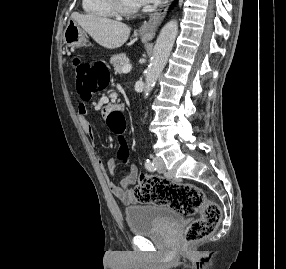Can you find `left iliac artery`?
Returning a JSON list of instances; mask_svg holds the SVG:
<instances>
[{
  "instance_id": "1",
  "label": "left iliac artery",
  "mask_w": 286,
  "mask_h": 269,
  "mask_svg": "<svg viewBox=\"0 0 286 269\" xmlns=\"http://www.w3.org/2000/svg\"><path fill=\"white\" fill-rule=\"evenodd\" d=\"M145 168L148 171H152V172L156 170L154 163L151 162L149 159H146V161H145Z\"/></svg>"
}]
</instances>
